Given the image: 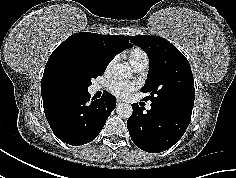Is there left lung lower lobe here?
I'll return each instance as SVG.
<instances>
[{
    "mask_svg": "<svg viewBox=\"0 0 236 178\" xmlns=\"http://www.w3.org/2000/svg\"><path fill=\"white\" fill-rule=\"evenodd\" d=\"M133 113L127 121L132 141L140 149L150 153L163 152L183 136L192 114V109L151 104V109L132 104Z\"/></svg>",
    "mask_w": 236,
    "mask_h": 178,
    "instance_id": "obj_1",
    "label": "left lung lower lobe"
}]
</instances>
